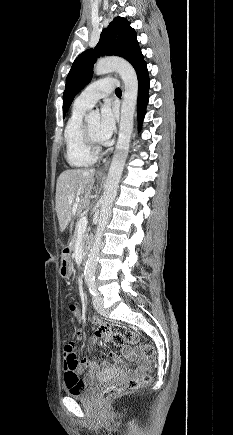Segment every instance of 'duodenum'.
Returning a JSON list of instances; mask_svg holds the SVG:
<instances>
[{
    "mask_svg": "<svg viewBox=\"0 0 233 435\" xmlns=\"http://www.w3.org/2000/svg\"><path fill=\"white\" fill-rule=\"evenodd\" d=\"M63 253H64V255H68L70 253V248H65ZM83 266L84 265H82V267H81V276L83 275V272H84V267Z\"/></svg>",
    "mask_w": 233,
    "mask_h": 435,
    "instance_id": "obj_1",
    "label": "duodenum"
}]
</instances>
